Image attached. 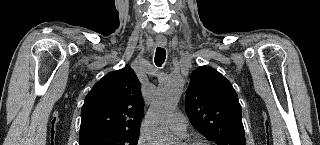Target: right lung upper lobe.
Masks as SVG:
<instances>
[{"label": "right lung upper lobe", "mask_w": 320, "mask_h": 145, "mask_svg": "<svg viewBox=\"0 0 320 145\" xmlns=\"http://www.w3.org/2000/svg\"><path fill=\"white\" fill-rule=\"evenodd\" d=\"M143 105L141 84L131 67L108 73L85 98L80 137L99 132L139 131Z\"/></svg>", "instance_id": "1"}]
</instances>
